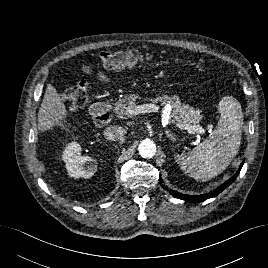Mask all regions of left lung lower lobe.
<instances>
[{"label": "left lung lower lobe", "mask_w": 268, "mask_h": 268, "mask_svg": "<svg viewBox=\"0 0 268 268\" xmlns=\"http://www.w3.org/2000/svg\"><path fill=\"white\" fill-rule=\"evenodd\" d=\"M243 163L244 162H242L240 164L239 170L229 180H227L225 183H223L217 189H215L214 191H212L208 194H203V195H199V196L185 195V194H181V193H178L176 191H173V190H170V194L173 195L174 197L185 200L187 202H201V201H205L209 198L215 197L219 193H221L224 189H226L237 178V176L239 175L240 170L243 166ZM159 179H160V181H162L161 177Z\"/></svg>", "instance_id": "0a47b994"}]
</instances>
